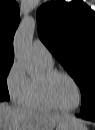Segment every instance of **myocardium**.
<instances>
[{
	"instance_id": "myocardium-1",
	"label": "myocardium",
	"mask_w": 95,
	"mask_h": 130,
	"mask_svg": "<svg viewBox=\"0 0 95 130\" xmlns=\"http://www.w3.org/2000/svg\"><path fill=\"white\" fill-rule=\"evenodd\" d=\"M59 76H64V77L68 78L70 81H72L74 83V85L76 86V88L78 90L79 102L73 108H66V107L59 105L54 100V98L51 94V84ZM39 83H40V88H41V92H42L44 99L55 109L65 111V112H74L81 107V105L83 103V97H84L83 90H82L80 84L78 83V81L69 73L61 71V70H56V69L46 71L43 78L39 79Z\"/></svg>"
}]
</instances>
